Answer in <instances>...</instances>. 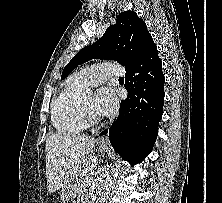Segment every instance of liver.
<instances>
[{"instance_id": "liver-1", "label": "liver", "mask_w": 222, "mask_h": 203, "mask_svg": "<svg viewBox=\"0 0 222 203\" xmlns=\"http://www.w3.org/2000/svg\"><path fill=\"white\" fill-rule=\"evenodd\" d=\"M95 139L58 132L46 139V176L49 193L92 175L97 167ZM62 198V195H61Z\"/></svg>"}]
</instances>
